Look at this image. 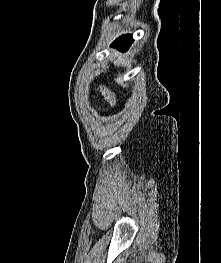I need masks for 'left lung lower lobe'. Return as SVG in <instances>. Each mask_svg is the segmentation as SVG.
Instances as JSON below:
<instances>
[{
	"instance_id": "obj_1",
	"label": "left lung lower lobe",
	"mask_w": 221,
	"mask_h": 263,
	"mask_svg": "<svg viewBox=\"0 0 221 263\" xmlns=\"http://www.w3.org/2000/svg\"><path fill=\"white\" fill-rule=\"evenodd\" d=\"M133 42L131 34L122 35L121 37L117 38L112 44V47L118 48L120 51H127L128 48L131 46Z\"/></svg>"
}]
</instances>
